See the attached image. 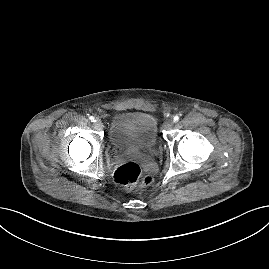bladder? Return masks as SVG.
<instances>
[{
    "instance_id": "obj_1",
    "label": "bladder",
    "mask_w": 269,
    "mask_h": 269,
    "mask_svg": "<svg viewBox=\"0 0 269 269\" xmlns=\"http://www.w3.org/2000/svg\"><path fill=\"white\" fill-rule=\"evenodd\" d=\"M108 136L118 152L150 151L158 140L157 122L143 112L118 113L111 120Z\"/></svg>"
}]
</instances>
